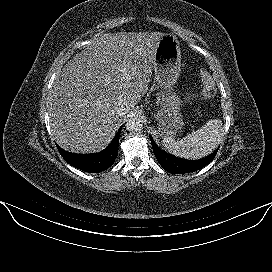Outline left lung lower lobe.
Returning <instances> with one entry per match:
<instances>
[{
  "mask_svg": "<svg viewBox=\"0 0 272 272\" xmlns=\"http://www.w3.org/2000/svg\"><path fill=\"white\" fill-rule=\"evenodd\" d=\"M153 152L159 164L164 170L169 173H189L197 171L206 165H208L216 156L218 149L213 152L211 155L200 159V160H185L175 156H172L164 151H162L153 141L150 136Z\"/></svg>",
  "mask_w": 272,
  "mask_h": 272,
  "instance_id": "obj_1",
  "label": "left lung lower lobe"
}]
</instances>
